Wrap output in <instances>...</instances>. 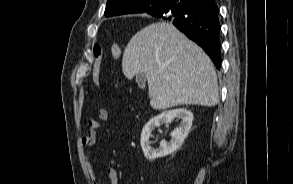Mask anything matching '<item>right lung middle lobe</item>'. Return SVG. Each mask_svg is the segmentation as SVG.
<instances>
[{"instance_id": "obj_1", "label": "right lung middle lobe", "mask_w": 293, "mask_h": 184, "mask_svg": "<svg viewBox=\"0 0 293 184\" xmlns=\"http://www.w3.org/2000/svg\"><path fill=\"white\" fill-rule=\"evenodd\" d=\"M169 5L168 0H156L152 3L153 11H163Z\"/></svg>"}]
</instances>
